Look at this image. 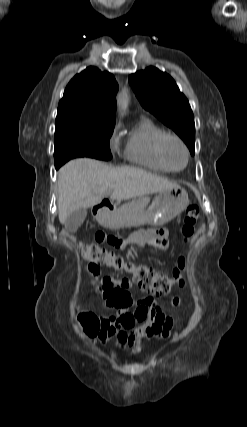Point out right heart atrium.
<instances>
[{
	"label": "right heart atrium",
	"instance_id": "d8ad5b80",
	"mask_svg": "<svg viewBox=\"0 0 247 427\" xmlns=\"http://www.w3.org/2000/svg\"><path fill=\"white\" fill-rule=\"evenodd\" d=\"M118 130H119V126H115L113 133L110 137V145L112 148H115L118 144Z\"/></svg>",
	"mask_w": 247,
	"mask_h": 427
}]
</instances>
